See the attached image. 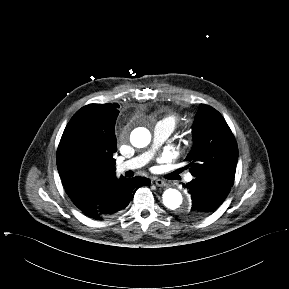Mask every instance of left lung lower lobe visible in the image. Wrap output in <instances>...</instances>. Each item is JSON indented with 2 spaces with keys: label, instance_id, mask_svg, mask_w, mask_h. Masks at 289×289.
<instances>
[{
  "label": "left lung lower lobe",
  "instance_id": "obj_1",
  "mask_svg": "<svg viewBox=\"0 0 289 289\" xmlns=\"http://www.w3.org/2000/svg\"><path fill=\"white\" fill-rule=\"evenodd\" d=\"M184 187L188 189L192 199V206L185 215L191 219H199L221 205L232 186L212 179L195 178Z\"/></svg>",
  "mask_w": 289,
  "mask_h": 289
}]
</instances>
